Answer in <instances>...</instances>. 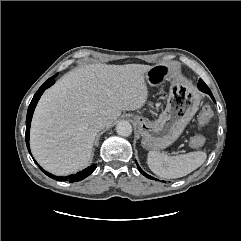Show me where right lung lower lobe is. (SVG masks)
Segmentation results:
<instances>
[{"mask_svg":"<svg viewBox=\"0 0 241 241\" xmlns=\"http://www.w3.org/2000/svg\"><path fill=\"white\" fill-rule=\"evenodd\" d=\"M57 75V74H56ZM56 75H54L53 77L49 78L40 88L39 90L36 92V94L34 95L29 107H28V112H27V117H26V144H27V148H29V132H30V123H31V119H32V115L34 112V109L37 105L38 100L40 99L42 93L45 91V89H47L48 87L52 86L55 83V77ZM30 152V151H29ZM46 175H48L51 178H55L58 181H69V182H77L80 181L84 178H86L87 176H89L95 169H96V165L93 164L90 167L82 170L81 172H78L77 174H73L70 176H66V177H55L52 174L44 171L42 168H40Z\"/></svg>","mask_w":241,"mask_h":241,"instance_id":"obj_1","label":"right lung lower lobe"}]
</instances>
